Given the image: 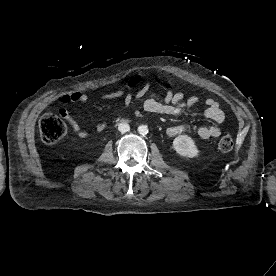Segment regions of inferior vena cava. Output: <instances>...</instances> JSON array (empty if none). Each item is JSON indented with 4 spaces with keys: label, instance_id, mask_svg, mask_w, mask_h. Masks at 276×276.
I'll list each match as a JSON object with an SVG mask.
<instances>
[{
    "label": "inferior vena cava",
    "instance_id": "obj_1",
    "mask_svg": "<svg viewBox=\"0 0 276 276\" xmlns=\"http://www.w3.org/2000/svg\"><path fill=\"white\" fill-rule=\"evenodd\" d=\"M118 130L122 133L128 132L130 130V126L127 123H120L118 125Z\"/></svg>",
    "mask_w": 276,
    "mask_h": 276
}]
</instances>
